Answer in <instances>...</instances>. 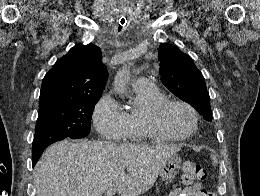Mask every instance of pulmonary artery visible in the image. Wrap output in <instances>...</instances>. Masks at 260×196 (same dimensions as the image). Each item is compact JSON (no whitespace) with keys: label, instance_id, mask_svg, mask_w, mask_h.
Wrapping results in <instances>:
<instances>
[{"label":"pulmonary artery","instance_id":"e3ab8cb5","mask_svg":"<svg viewBox=\"0 0 260 196\" xmlns=\"http://www.w3.org/2000/svg\"><path fill=\"white\" fill-rule=\"evenodd\" d=\"M139 83H140V84H145V83H146V80H145V79H140V80H139ZM137 85H139V84H137Z\"/></svg>","mask_w":260,"mask_h":196}]
</instances>
